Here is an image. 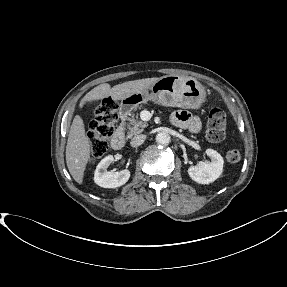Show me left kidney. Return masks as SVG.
Instances as JSON below:
<instances>
[{
    "label": "left kidney",
    "instance_id": "5707ae66",
    "mask_svg": "<svg viewBox=\"0 0 287 287\" xmlns=\"http://www.w3.org/2000/svg\"><path fill=\"white\" fill-rule=\"evenodd\" d=\"M206 154L211 159L210 163L201 161L196 166L188 168L190 178L200 184L214 182L223 171V157L213 149H207Z\"/></svg>",
    "mask_w": 287,
    "mask_h": 287
}]
</instances>
